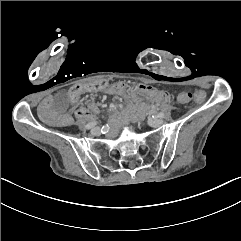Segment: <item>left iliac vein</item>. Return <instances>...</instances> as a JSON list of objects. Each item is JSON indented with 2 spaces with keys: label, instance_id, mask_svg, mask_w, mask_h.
<instances>
[{
  "label": "left iliac vein",
  "instance_id": "4c4485c4",
  "mask_svg": "<svg viewBox=\"0 0 241 241\" xmlns=\"http://www.w3.org/2000/svg\"><path fill=\"white\" fill-rule=\"evenodd\" d=\"M163 123L161 119L153 118L148 121V124L152 127H158Z\"/></svg>",
  "mask_w": 241,
  "mask_h": 241
}]
</instances>
